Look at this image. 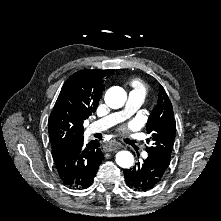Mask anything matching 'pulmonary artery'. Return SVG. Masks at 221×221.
<instances>
[{
    "mask_svg": "<svg viewBox=\"0 0 221 221\" xmlns=\"http://www.w3.org/2000/svg\"><path fill=\"white\" fill-rule=\"evenodd\" d=\"M144 102V94L140 91H132L129 93L128 101L124 110L109 114L89 126L90 132H98L106 130L113 125L121 122L123 119L135 112Z\"/></svg>",
    "mask_w": 221,
    "mask_h": 221,
    "instance_id": "1",
    "label": "pulmonary artery"
}]
</instances>
